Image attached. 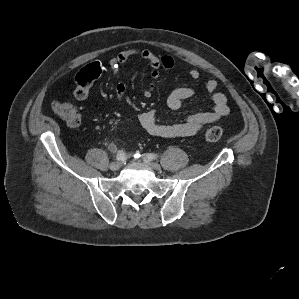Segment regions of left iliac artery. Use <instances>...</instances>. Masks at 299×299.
Listing matches in <instances>:
<instances>
[{
  "instance_id": "44dca946",
  "label": "left iliac artery",
  "mask_w": 299,
  "mask_h": 299,
  "mask_svg": "<svg viewBox=\"0 0 299 299\" xmlns=\"http://www.w3.org/2000/svg\"><path fill=\"white\" fill-rule=\"evenodd\" d=\"M146 158L149 159V160H154V159L157 158V155H156V154H148V155L146 156Z\"/></svg>"
}]
</instances>
